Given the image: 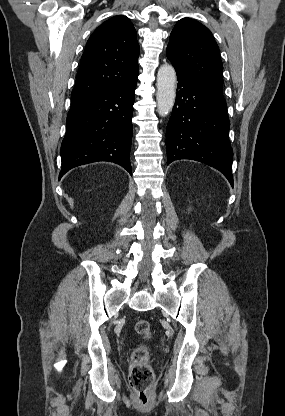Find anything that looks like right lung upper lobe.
<instances>
[{"label":"right lung upper lobe","instance_id":"cb5924a9","mask_svg":"<svg viewBox=\"0 0 285 416\" xmlns=\"http://www.w3.org/2000/svg\"><path fill=\"white\" fill-rule=\"evenodd\" d=\"M123 15L102 23L87 41L71 94V104L103 93L138 75L139 44Z\"/></svg>","mask_w":285,"mask_h":416}]
</instances>
